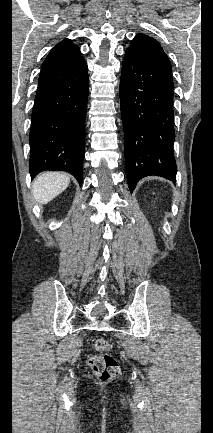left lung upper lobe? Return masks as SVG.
<instances>
[{"instance_id":"1","label":"left lung upper lobe","mask_w":213,"mask_h":433,"mask_svg":"<svg viewBox=\"0 0 213 433\" xmlns=\"http://www.w3.org/2000/svg\"><path fill=\"white\" fill-rule=\"evenodd\" d=\"M129 48L137 50L145 56L157 60L171 69V63L164 53L161 45L152 37L145 34H138L134 37Z\"/></svg>"}]
</instances>
